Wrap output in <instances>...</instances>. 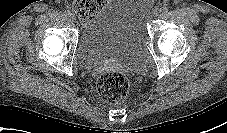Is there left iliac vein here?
<instances>
[{
	"mask_svg": "<svg viewBox=\"0 0 227 133\" xmlns=\"http://www.w3.org/2000/svg\"><path fill=\"white\" fill-rule=\"evenodd\" d=\"M159 13H160V10H159L158 8H155V9L153 10V12H152V15H153L154 17H156V16L159 15Z\"/></svg>",
	"mask_w": 227,
	"mask_h": 133,
	"instance_id": "obj_1",
	"label": "left iliac vein"
}]
</instances>
